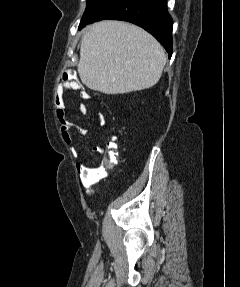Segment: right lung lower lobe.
<instances>
[{
    "label": "right lung lower lobe",
    "instance_id": "98d812e1",
    "mask_svg": "<svg viewBox=\"0 0 240 287\" xmlns=\"http://www.w3.org/2000/svg\"><path fill=\"white\" fill-rule=\"evenodd\" d=\"M167 0H109L90 23L100 20H123L151 33L172 55L173 21L166 8Z\"/></svg>",
    "mask_w": 240,
    "mask_h": 287
}]
</instances>
